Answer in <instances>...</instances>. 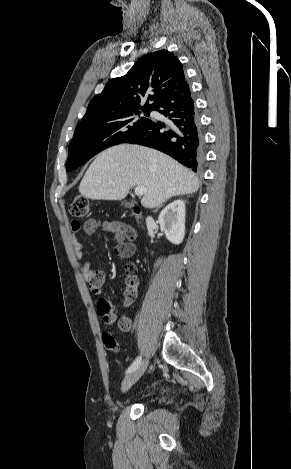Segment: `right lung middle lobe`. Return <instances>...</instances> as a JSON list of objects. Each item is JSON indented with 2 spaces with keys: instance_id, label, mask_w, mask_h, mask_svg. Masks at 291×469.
<instances>
[{
  "instance_id": "1",
  "label": "right lung middle lobe",
  "mask_w": 291,
  "mask_h": 469,
  "mask_svg": "<svg viewBox=\"0 0 291 469\" xmlns=\"http://www.w3.org/2000/svg\"><path fill=\"white\" fill-rule=\"evenodd\" d=\"M142 111L148 116L151 109H136L101 119L81 121L69 144L66 170H73L100 151L123 143L149 121L148 118L138 117Z\"/></svg>"
}]
</instances>
